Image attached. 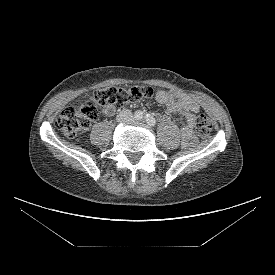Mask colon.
Masks as SVG:
<instances>
[{
  "label": "colon",
  "mask_w": 275,
  "mask_h": 275,
  "mask_svg": "<svg viewBox=\"0 0 275 275\" xmlns=\"http://www.w3.org/2000/svg\"><path fill=\"white\" fill-rule=\"evenodd\" d=\"M154 91L149 86L143 87H116L110 86L99 89L91 98L79 107H67L58 114L55 125L67 138H73L97 117L98 105H127L136 103L144 98L151 97ZM195 129L201 138H206L211 130V122L205 115H199L195 122Z\"/></svg>",
  "instance_id": "5ec220e1"
}]
</instances>
